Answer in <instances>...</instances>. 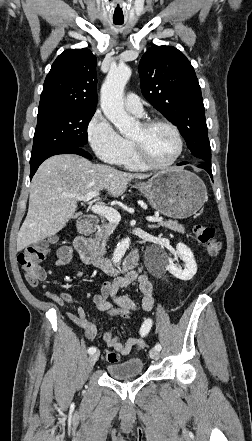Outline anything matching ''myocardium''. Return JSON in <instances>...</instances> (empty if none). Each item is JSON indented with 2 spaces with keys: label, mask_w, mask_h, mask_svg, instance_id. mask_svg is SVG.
<instances>
[{
  "label": "myocardium",
  "mask_w": 252,
  "mask_h": 441,
  "mask_svg": "<svg viewBox=\"0 0 252 441\" xmlns=\"http://www.w3.org/2000/svg\"><path fill=\"white\" fill-rule=\"evenodd\" d=\"M140 125L142 126V128L144 130H149V129H151L155 126H159V125L168 127L174 133V135L176 137V140L178 143V148H177L176 154L168 162L155 163L149 159L143 146L138 141L131 139V143L133 145V148H134V151H135V154H136L138 160L146 168L152 169V170L165 169V168H168V167L174 165L180 159V157L182 156V154L184 152V141H183V137H182L181 132L178 129V127L168 120L158 119V118L145 120Z\"/></svg>",
  "instance_id": "f54148a6"
}]
</instances>
